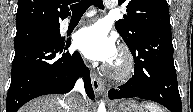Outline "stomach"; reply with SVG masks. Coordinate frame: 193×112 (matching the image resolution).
I'll use <instances>...</instances> for the list:
<instances>
[{
  "label": "stomach",
  "mask_w": 193,
  "mask_h": 112,
  "mask_svg": "<svg viewBox=\"0 0 193 112\" xmlns=\"http://www.w3.org/2000/svg\"><path fill=\"white\" fill-rule=\"evenodd\" d=\"M114 112H145L144 108L133 100H127L114 107Z\"/></svg>",
  "instance_id": "0dacf381"
}]
</instances>
